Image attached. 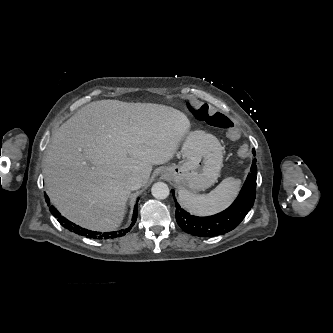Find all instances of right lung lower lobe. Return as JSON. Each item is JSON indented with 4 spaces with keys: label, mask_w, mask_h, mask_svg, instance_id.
I'll return each mask as SVG.
<instances>
[{
    "label": "right lung lower lobe",
    "mask_w": 333,
    "mask_h": 333,
    "mask_svg": "<svg viewBox=\"0 0 333 333\" xmlns=\"http://www.w3.org/2000/svg\"><path fill=\"white\" fill-rule=\"evenodd\" d=\"M45 199H46V202H48V205H50L49 198L47 195H45ZM49 210L53 214V216L58 219V221L64 228L68 229L71 232H75L79 235H82V236H85L88 238H92V239H112V238L124 236L127 232L130 231L132 226L135 224L137 215H138V207L136 205L134 208L132 223H131L130 227H128L127 229L119 230V231L101 233V232L91 231V230L82 228V227L72 223L71 221L62 217L61 214L57 211V209L54 206H50Z\"/></svg>",
    "instance_id": "1"
}]
</instances>
